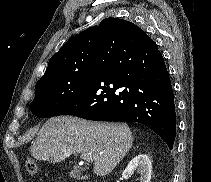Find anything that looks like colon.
Returning <instances> with one entry per match:
<instances>
[{
	"label": "colon",
	"mask_w": 211,
	"mask_h": 182,
	"mask_svg": "<svg viewBox=\"0 0 211 182\" xmlns=\"http://www.w3.org/2000/svg\"><path fill=\"white\" fill-rule=\"evenodd\" d=\"M26 168L30 174H36L38 172V165L32 158H28L26 161Z\"/></svg>",
	"instance_id": "1"
}]
</instances>
